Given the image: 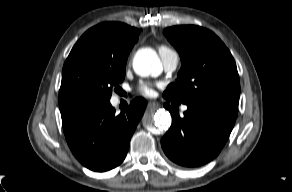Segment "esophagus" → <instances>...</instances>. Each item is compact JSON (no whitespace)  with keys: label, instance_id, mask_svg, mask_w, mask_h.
I'll return each instance as SVG.
<instances>
[{"label":"esophagus","instance_id":"1","mask_svg":"<svg viewBox=\"0 0 292 192\" xmlns=\"http://www.w3.org/2000/svg\"><path fill=\"white\" fill-rule=\"evenodd\" d=\"M147 107H148V109H156L159 107V104L155 101H150V102H148Z\"/></svg>","mask_w":292,"mask_h":192}]
</instances>
